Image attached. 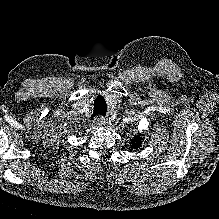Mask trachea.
<instances>
[{"label":"trachea","mask_w":219,"mask_h":219,"mask_svg":"<svg viewBox=\"0 0 219 219\" xmlns=\"http://www.w3.org/2000/svg\"><path fill=\"white\" fill-rule=\"evenodd\" d=\"M107 111V105L104 100L96 99L95 100V105H94V111L93 114L91 115V118L95 116H105Z\"/></svg>","instance_id":"trachea-1"}]
</instances>
